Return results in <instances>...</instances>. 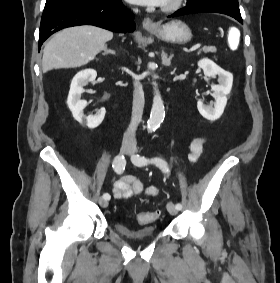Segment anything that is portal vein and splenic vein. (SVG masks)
<instances>
[{
    "instance_id": "18ae733b",
    "label": "portal vein and splenic vein",
    "mask_w": 280,
    "mask_h": 283,
    "mask_svg": "<svg viewBox=\"0 0 280 283\" xmlns=\"http://www.w3.org/2000/svg\"><path fill=\"white\" fill-rule=\"evenodd\" d=\"M200 44H197L195 46H193L192 48L189 49V52L195 51L196 49L200 48Z\"/></svg>"
}]
</instances>
